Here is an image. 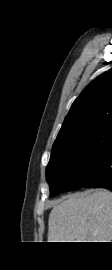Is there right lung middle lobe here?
<instances>
[{"mask_svg": "<svg viewBox=\"0 0 112 270\" xmlns=\"http://www.w3.org/2000/svg\"><path fill=\"white\" fill-rule=\"evenodd\" d=\"M112 143V121L97 125L53 146L46 168L50 196L79 189L89 165Z\"/></svg>", "mask_w": 112, "mask_h": 270, "instance_id": "obj_1", "label": "right lung middle lobe"}]
</instances>
